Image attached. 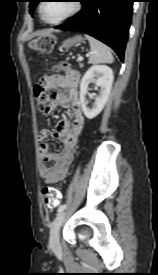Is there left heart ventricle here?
Returning a JSON list of instances; mask_svg holds the SVG:
<instances>
[{
	"instance_id": "left-heart-ventricle-1",
	"label": "left heart ventricle",
	"mask_w": 158,
	"mask_h": 275,
	"mask_svg": "<svg viewBox=\"0 0 158 275\" xmlns=\"http://www.w3.org/2000/svg\"><path fill=\"white\" fill-rule=\"evenodd\" d=\"M73 8V1L51 0L43 6V15L48 21H56L67 15Z\"/></svg>"
}]
</instances>
